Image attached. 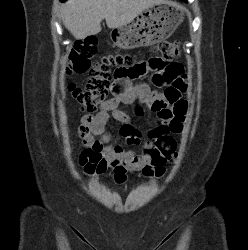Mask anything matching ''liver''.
I'll use <instances>...</instances> for the list:
<instances>
[{"label":"liver","instance_id":"obj_1","mask_svg":"<svg viewBox=\"0 0 248 250\" xmlns=\"http://www.w3.org/2000/svg\"><path fill=\"white\" fill-rule=\"evenodd\" d=\"M165 0H68L62 5L64 26L76 39L101 31V21L110 29L133 21L146 8Z\"/></svg>","mask_w":248,"mask_h":250}]
</instances>
